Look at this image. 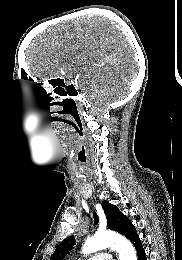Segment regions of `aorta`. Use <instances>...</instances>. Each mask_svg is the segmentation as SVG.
Here are the masks:
<instances>
[{
	"mask_svg": "<svg viewBox=\"0 0 182 260\" xmlns=\"http://www.w3.org/2000/svg\"><path fill=\"white\" fill-rule=\"evenodd\" d=\"M108 247L119 253L120 260H137L136 251L130 241L114 232L96 233L85 241L82 252L90 254Z\"/></svg>",
	"mask_w": 182,
	"mask_h": 260,
	"instance_id": "obj_1",
	"label": "aorta"
}]
</instances>
